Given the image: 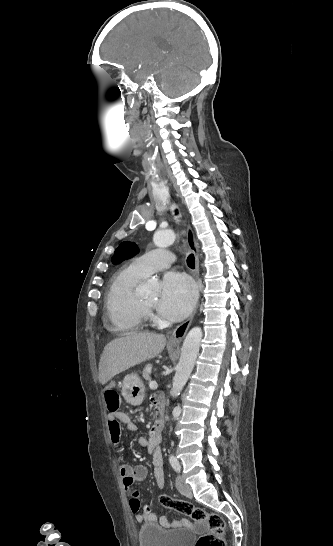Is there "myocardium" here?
<instances>
[{
    "label": "myocardium",
    "mask_w": 333,
    "mask_h": 546,
    "mask_svg": "<svg viewBox=\"0 0 333 546\" xmlns=\"http://www.w3.org/2000/svg\"><path fill=\"white\" fill-rule=\"evenodd\" d=\"M139 301H140V305H141L142 309H143L146 313H148V312H150V311L152 310V307H151V306H148L147 304H145V303L143 302L142 299H140Z\"/></svg>",
    "instance_id": "f54148a6"
}]
</instances>
